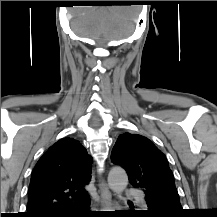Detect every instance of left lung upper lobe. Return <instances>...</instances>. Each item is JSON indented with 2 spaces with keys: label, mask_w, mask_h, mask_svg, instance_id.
Returning <instances> with one entry per match:
<instances>
[{
  "label": "left lung upper lobe",
  "mask_w": 217,
  "mask_h": 217,
  "mask_svg": "<svg viewBox=\"0 0 217 217\" xmlns=\"http://www.w3.org/2000/svg\"><path fill=\"white\" fill-rule=\"evenodd\" d=\"M111 161L126 170L134 187L145 192L149 208L173 216L182 212L168 161L149 139L130 133L120 135Z\"/></svg>",
  "instance_id": "5c2ea615"
}]
</instances>
